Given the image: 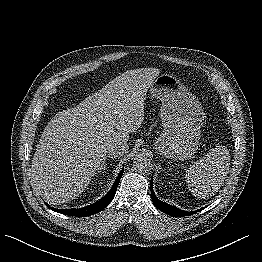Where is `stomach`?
I'll return each mask as SVG.
<instances>
[{
  "label": "stomach",
  "mask_w": 262,
  "mask_h": 262,
  "mask_svg": "<svg viewBox=\"0 0 262 262\" xmlns=\"http://www.w3.org/2000/svg\"><path fill=\"white\" fill-rule=\"evenodd\" d=\"M152 97L162 102L164 130L155 148L164 158L187 160L197 151L204 113L200 102L171 74L158 76L150 87Z\"/></svg>",
  "instance_id": "obj_1"
}]
</instances>
